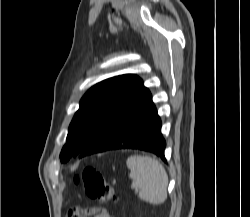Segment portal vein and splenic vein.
<instances>
[{
	"label": "portal vein and splenic vein",
	"instance_id": "portal-vein-and-splenic-vein-1",
	"mask_svg": "<svg viewBox=\"0 0 250 217\" xmlns=\"http://www.w3.org/2000/svg\"><path fill=\"white\" fill-rule=\"evenodd\" d=\"M135 192L137 193V192H138V189H136Z\"/></svg>",
	"mask_w": 250,
	"mask_h": 217
}]
</instances>
